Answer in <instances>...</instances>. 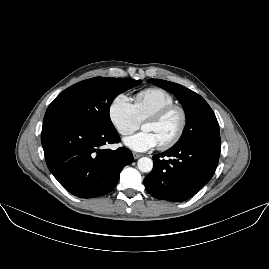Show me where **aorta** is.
Masks as SVG:
<instances>
[{
    "label": "aorta",
    "instance_id": "obj_1",
    "mask_svg": "<svg viewBox=\"0 0 269 269\" xmlns=\"http://www.w3.org/2000/svg\"><path fill=\"white\" fill-rule=\"evenodd\" d=\"M137 167L139 171L143 173H149L153 169V161L148 157H141L137 161Z\"/></svg>",
    "mask_w": 269,
    "mask_h": 269
}]
</instances>
